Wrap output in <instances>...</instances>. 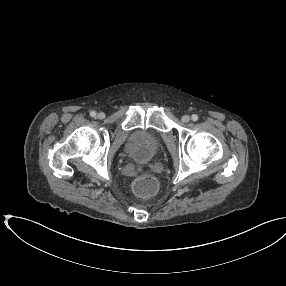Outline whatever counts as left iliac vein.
<instances>
[{
	"label": "left iliac vein",
	"mask_w": 286,
	"mask_h": 286,
	"mask_svg": "<svg viewBox=\"0 0 286 286\" xmlns=\"http://www.w3.org/2000/svg\"><path fill=\"white\" fill-rule=\"evenodd\" d=\"M190 116L189 115H184L183 117H182V121L184 122V123H188L189 121H190Z\"/></svg>",
	"instance_id": "1"
}]
</instances>
